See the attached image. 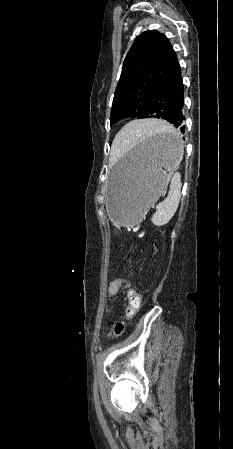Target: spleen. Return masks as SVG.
Segmentation results:
<instances>
[{
    "label": "spleen",
    "instance_id": "spleen-1",
    "mask_svg": "<svg viewBox=\"0 0 233 449\" xmlns=\"http://www.w3.org/2000/svg\"><path fill=\"white\" fill-rule=\"evenodd\" d=\"M156 133H175L179 143L180 150L183 153V144L181 137L169 125H141V130L135 134H129V138L125 140L118 139L122 142L116 149V156L119 157L137 144V142H152L153 135ZM181 181L180 174L176 172L171 178L170 190L168 196L163 202L156 206V213L152 216L151 222L155 226H163L167 224L177 211L181 197Z\"/></svg>",
    "mask_w": 233,
    "mask_h": 449
}]
</instances>
